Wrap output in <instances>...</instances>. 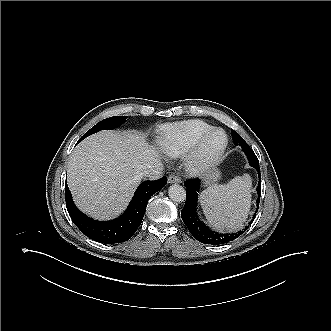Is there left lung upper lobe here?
Returning <instances> with one entry per match:
<instances>
[{"mask_svg": "<svg viewBox=\"0 0 331 331\" xmlns=\"http://www.w3.org/2000/svg\"><path fill=\"white\" fill-rule=\"evenodd\" d=\"M231 134L233 136H236V137H239V138H242L237 132H235L234 130H231ZM246 147L244 148V152L245 154L247 155L248 157V160L255 163V164H259V161L256 157V155L254 154L253 150L249 147V145L246 143L245 145Z\"/></svg>", "mask_w": 331, "mask_h": 331, "instance_id": "obj_1", "label": "left lung upper lobe"}]
</instances>
